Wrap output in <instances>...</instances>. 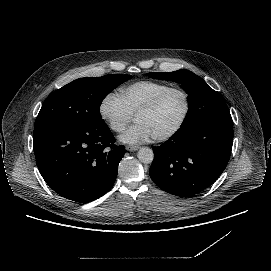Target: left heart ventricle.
I'll list each match as a JSON object with an SVG mask.
<instances>
[{
	"label": "left heart ventricle",
	"instance_id": "b2bd125f",
	"mask_svg": "<svg viewBox=\"0 0 271 271\" xmlns=\"http://www.w3.org/2000/svg\"><path fill=\"white\" fill-rule=\"evenodd\" d=\"M185 103L180 92L171 93L153 112L139 115L136 123H145L154 137L162 136L171 131L180 121L184 113Z\"/></svg>",
	"mask_w": 271,
	"mask_h": 271
}]
</instances>
